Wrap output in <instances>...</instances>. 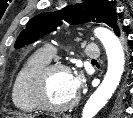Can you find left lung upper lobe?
<instances>
[{
	"label": "left lung upper lobe",
	"mask_w": 133,
	"mask_h": 118,
	"mask_svg": "<svg viewBox=\"0 0 133 118\" xmlns=\"http://www.w3.org/2000/svg\"><path fill=\"white\" fill-rule=\"evenodd\" d=\"M81 4L67 6L61 11L52 13H41L33 17L17 38L15 47H22L25 44L38 40L49 32L56 30L62 25L61 20L70 24H81L86 22H103L113 29L118 26L117 15L114 8L107 0H82ZM123 93L120 94L114 103V110L122 109Z\"/></svg>",
	"instance_id": "left-lung-upper-lobe-1"
}]
</instances>
